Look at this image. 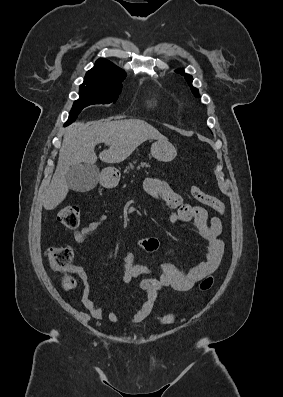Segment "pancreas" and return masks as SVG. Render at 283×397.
<instances>
[{"instance_id": "pancreas-1", "label": "pancreas", "mask_w": 283, "mask_h": 397, "mask_svg": "<svg viewBox=\"0 0 283 397\" xmlns=\"http://www.w3.org/2000/svg\"><path fill=\"white\" fill-rule=\"evenodd\" d=\"M135 163H136V162L130 163V164H129V167H127L126 172H129L130 170H133V169H134V164H135ZM141 167H148V164H146V163H141V164L139 165L138 168H141Z\"/></svg>"}]
</instances>
